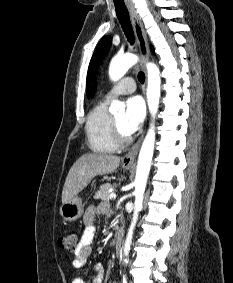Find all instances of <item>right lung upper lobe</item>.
Segmentation results:
<instances>
[{
  "label": "right lung upper lobe",
  "mask_w": 233,
  "mask_h": 283,
  "mask_svg": "<svg viewBox=\"0 0 233 283\" xmlns=\"http://www.w3.org/2000/svg\"><path fill=\"white\" fill-rule=\"evenodd\" d=\"M96 83H94V85H93V87H92V93H91V95L93 96L94 95V93H95V91H96Z\"/></svg>",
  "instance_id": "right-lung-upper-lobe-1"
}]
</instances>
